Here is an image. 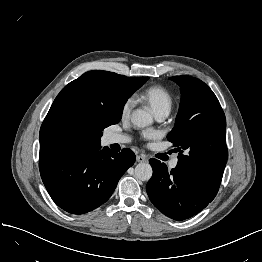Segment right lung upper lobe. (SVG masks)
I'll list each match as a JSON object with an SVG mask.
<instances>
[{
    "instance_id": "obj_1",
    "label": "right lung upper lobe",
    "mask_w": 262,
    "mask_h": 262,
    "mask_svg": "<svg viewBox=\"0 0 262 262\" xmlns=\"http://www.w3.org/2000/svg\"><path fill=\"white\" fill-rule=\"evenodd\" d=\"M135 79L95 70L66 85L42 123L40 149L83 144L99 147L100 142L87 128L89 117H108L123 110L127 99L136 91Z\"/></svg>"
}]
</instances>
